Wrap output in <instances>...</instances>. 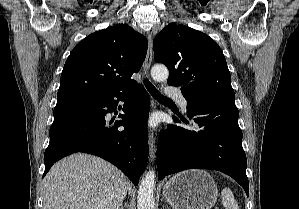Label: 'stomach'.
Returning a JSON list of instances; mask_svg holds the SVG:
<instances>
[{
	"label": "stomach",
	"mask_w": 299,
	"mask_h": 209,
	"mask_svg": "<svg viewBox=\"0 0 299 209\" xmlns=\"http://www.w3.org/2000/svg\"><path fill=\"white\" fill-rule=\"evenodd\" d=\"M163 196L173 209H211L218 190L208 172L191 169L169 179L163 187Z\"/></svg>",
	"instance_id": "stomach-1"
}]
</instances>
